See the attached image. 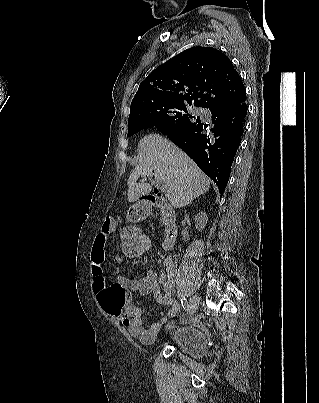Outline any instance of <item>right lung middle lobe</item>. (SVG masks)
Instances as JSON below:
<instances>
[{
  "mask_svg": "<svg viewBox=\"0 0 319 403\" xmlns=\"http://www.w3.org/2000/svg\"><path fill=\"white\" fill-rule=\"evenodd\" d=\"M187 106L182 104H165L147 109L140 116L128 120V134L131 135L149 127H156L162 133L183 130L198 122L199 117L186 114ZM189 118L196 121L191 122Z\"/></svg>",
  "mask_w": 319,
  "mask_h": 403,
  "instance_id": "1",
  "label": "right lung middle lobe"
}]
</instances>
